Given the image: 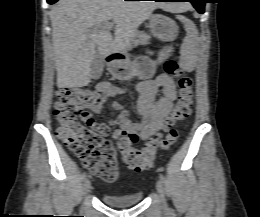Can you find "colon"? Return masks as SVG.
I'll return each instance as SVG.
<instances>
[{
    "mask_svg": "<svg viewBox=\"0 0 260 217\" xmlns=\"http://www.w3.org/2000/svg\"><path fill=\"white\" fill-rule=\"evenodd\" d=\"M169 76L179 77V96L167 123L174 126L187 118L193 107V80L184 74L180 65L174 60L165 63ZM55 116L57 119V136L79 158L84 168L104 181H114L117 177L119 161L134 171L149 169L158 149L169 148L178 138V130L170 128L164 138H153L145 147L138 149L131 145L127 136L121 135L115 145L108 137L102 124H95L91 118L83 120L85 108L100 107L105 97L89 89H62L57 93ZM83 121V122H82Z\"/></svg>",
    "mask_w": 260,
    "mask_h": 217,
    "instance_id": "colon-1",
    "label": "colon"
}]
</instances>
